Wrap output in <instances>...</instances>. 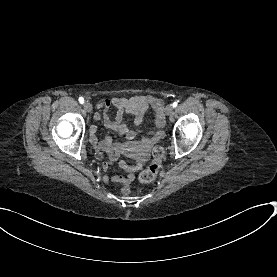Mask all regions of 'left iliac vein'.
<instances>
[{
  "instance_id": "4c4485c4",
  "label": "left iliac vein",
  "mask_w": 277,
  "mask_h": 277,
  "mask_svg": "<svg viewBox=\"0 0 277 277\" xmlns=\"http://www.w3.org/2000/svg\"><path fill=\"white\" fill-rule=\"evenodd\" d=\"M173 113V106L172 105H167L165 108V114L166 115H171Z\"/></svg>"
}]
</instances>
